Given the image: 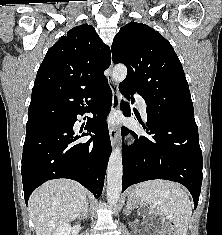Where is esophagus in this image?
Wrapping results in <instances>:
<instances>
[{"label": "esophagus", "instance_id": "34e87169", "mask_svg": "<svg viewBox=\"0 0 222 235\" xmlns=\"http://www.w3.org/2000/svg\"><path fill=\"white\" fill-rule=\"evenodd\" d=\"M112 67V63H111ZM110 88L112 90V106H111V113H116L120 107V95L118 91V86L115 82H110ZM109 135L111 144L114 147L118 141V128L114 125L110 126Z\"/></svg>", "mask_w": 222, "mask_h": 235}]
</instances>
